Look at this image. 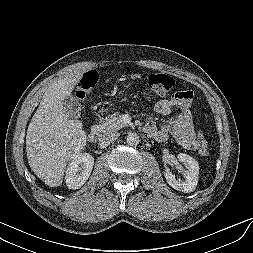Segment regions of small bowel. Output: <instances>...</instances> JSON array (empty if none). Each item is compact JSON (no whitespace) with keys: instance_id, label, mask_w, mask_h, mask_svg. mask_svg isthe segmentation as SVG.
Instances as JSON below:
<instances>
[{"instance_id":"small-bowel-1","label":"small bowel","mask_w":253,"mask_h":253,"mask_svg":"<svg viewBox=\"0 0 253 253\" xmlns=\"http://www.w3.org/2000/svg\"><path fill=\"white\" fill-rule=\"evenodd\" d=\"M190 103L178 101L174 97L158 101L154 110L159 115H168L174 107L180 108L179 113L168 122L157 126L154 119H149L145 124V130L159 142L166 141L170 135L183 147L189 150H197V135L192 123L189 111Z\"/></svg>"}]
</instances>
